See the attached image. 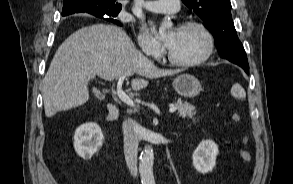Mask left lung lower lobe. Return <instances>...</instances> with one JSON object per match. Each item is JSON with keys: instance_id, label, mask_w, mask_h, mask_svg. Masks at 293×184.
Masks as SVG:
<instances>
[{"instance_id": "left-lung-lower-lobe-1", "label": "left lung lower lobe", "mask_w": 293, "mask_h": 184, "mask_svg": "<svg viewBox=\"0 0 293 184\" xmlns=\"http://www.w3.org/2000/svg\"><path fill=\"white\" fill-rule=\"evenodd\" d=\"M234 48H235V50L238 51L239 53H243V54L245 53V50H244V48H243L241 42H235V43H234ZM225 50H233V48H232V47L225 46ZM245 54H246V53H245ZM227 60H228V59H227ZM229 61H231V62H233V63H235V64L241 66V67L245 70V72H246L247 74H249V65H248L247 56H244V55H243V57H241V58L231 59V60H229Z\"/></svg>"}]
</instances>
